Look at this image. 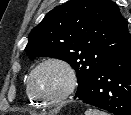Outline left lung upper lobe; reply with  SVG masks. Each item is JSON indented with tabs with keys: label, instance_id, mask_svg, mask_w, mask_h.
Masks as SVG:
<instances>
[{
	"label": "left lung upper lobe",
	"instance_id": "obj_1",
	"mask_svg": "<svg viewBox=\"0 0 131 115\" xmlns=\"http://www.w3.org/2000/svg\"><path fill=\"white\" fill-rule=\"evenodd\" d=\"M131 38L118 5L111 0H71L48 12L29 34L30 58L68 62L77 73L78 96L102 66Z\"/></svg>",
	"mask_w": 131,
	"mask_h": 115
}]
</instances>
